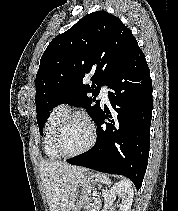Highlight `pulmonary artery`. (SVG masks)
<instances>
[{"label": "pulmonary artery", "mask_w": 178, "mask_h": 211, "mask_svg": "<svg viewBox=\"0 0 178 211\" xmlns=\"http://www.w3.org/2000/svg\"><path fill=\"white\" fill-rule=\"evenodd\" d=\"M99 97L103 102H105V103L109 102L108 87L107 86L104 85V86L101 87Z\"/></svg>", "instance_id": "e3ab8cb5"}]
</instances>
